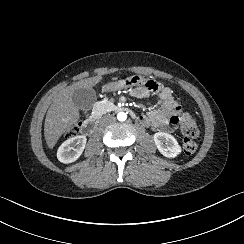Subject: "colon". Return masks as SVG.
I'll list each match as a JSON object with an SVG mask.
<instances>
[{"label":"colon","instance_id":"obj_1","mask_svg":"<svg viewBox=\"0 0 244 244\" xmlns=\"http://www.w3.org/2000/svg\"><path fill=\"white\" fill-rule=\"evenodd\" d=\"M178 123V130L182 135L181 146L185 153L194 154L198 149L197 143L194 141L199 134V127L194 118L187 113L177 115L175 117Z\"/></svg>","mask_w":244,"mask_h":244}]
</instances>
